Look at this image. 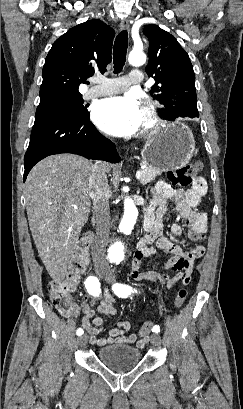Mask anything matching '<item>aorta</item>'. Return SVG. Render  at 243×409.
I'll return each instance as SVG.
<instances>
[{
  "instance_id": "762f6f07",
  "label": "aorta",
  "mask_w": 243,
  "mask_h": 409,
  "mask_svg": "<svg viewBox=\"0 0 243 409\" xmlns=\"http://www.w3.org/2000/svg\"><path fill=\"white\" fill-rule=\"evenodd\" d=\"M129 63L133 66H141L146 61V55L142 51H132L129 54ZM138 217V209L131 198L124 200V214L120 222V231L124 234H129L136 224ZM112 250L118 254L123 255L124 246L121 241H116L112 246Z\"/></svg>"
}]
</instances>
